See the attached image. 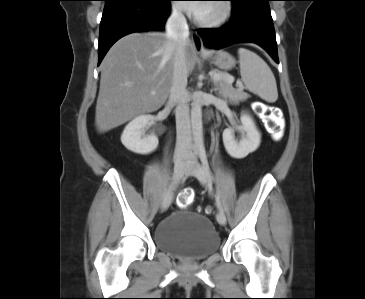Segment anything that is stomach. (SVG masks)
Segmentation results:
<instances>
[{"mask_svg": "<svg viewBox=\"0 0 365 299\" xmlns=\"http://www.w3.org/2000/svg\"><path fill=\"white\" fill-rule=\"evenodd\" d=\"M211 59L215 66L224 71L232 69L236 63L233 56L225 51L217 52L215 55L211 56Z\"/></svg>", "mask_w": 365, "mask_h": 299, "instance_id": "stomach-1", "label": "stomach"}]
</instances>
